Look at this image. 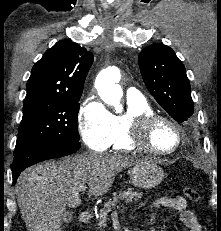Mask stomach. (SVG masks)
Instances as JSON below:
<instances>
[{"label":"stomach","instance_id":"stomach-1","mask_svg":"<svg viewBox=\"0 0 221 231\" xmlns=\"http://www.w3.org/2000/svg\"><path fill=\"white\" fill-rule=\"evenodd\" d=\"M130 178L136 187L149 189L159 185L164 179V172L151 160H140L129 170Z\"/></svg>","mask_w":221,"mask_h":231}]
</instances>
